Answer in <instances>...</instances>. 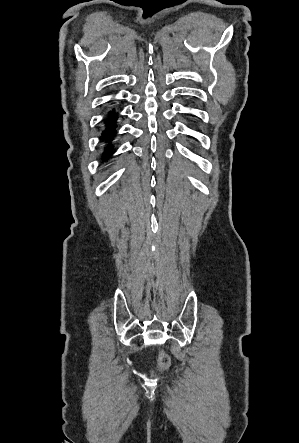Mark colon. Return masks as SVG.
Returning <instances> with one entry per match:
<instances>
[{
    "instance_id": "5ec220e1",
    "label": "colon",
    "mask_w": 299,
    "mask_h": 443,
    "mask_svg": "<svg viewBox=\"0 0 299 443\" xmlns=\"http://www.w3.org/2000/svg\"><path fill=\"white\" fill-rule=\"evenodd\" d=\"M158 363H159V366H160L161 370L168 369V367L170 365V359H169L168 355L165 354L163 351L159 352Z\"/></svg>"
}]
</instances>
